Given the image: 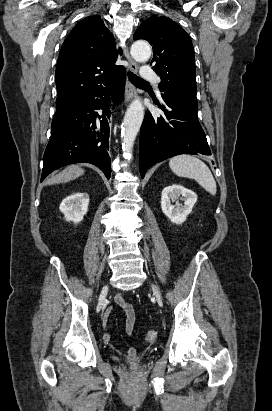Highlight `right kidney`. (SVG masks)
Segmentation results:
<instances>
[{
	"label": "right kidney",
	"instance_id": "obj_1",
	"mask_svg": "<svg viewBox=\"0 0 272 411\" xmlns=\"http://www.w3.org/2000/svg\"><path fill=\"white\" fill-rule=\"evenodd\" d=\"M89 196L87 193L77 192L67 196L60 204V211L67 221L79 223L87 213Z\"/></svg>",
	"mask_w": 272,
	"mask_h": 411
}]
</instances>
